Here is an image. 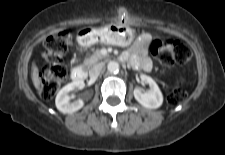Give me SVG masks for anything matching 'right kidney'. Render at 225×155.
Here are the masks:
<instances>
[{
  "mask_svg": "<svg viewBox=\"0 0 225 155\" xmlns=\"http://www.w3.org/2000/svg\"><path fill=\"white\" fill-rule=\"evenodd\" d=\"M84 82L82 80L73 81L64 86L57 94L55 99L56 107L62 113H73L81 109L84 105L83 100L79 99L74 102H70L69 92L74 89H82Z\"/></svg>",
  "mask_w": 225,
  "mask_h": 155,
  "instance_id": "right-kidney-1",
  "label": "right kidney"
}]
</instances>
